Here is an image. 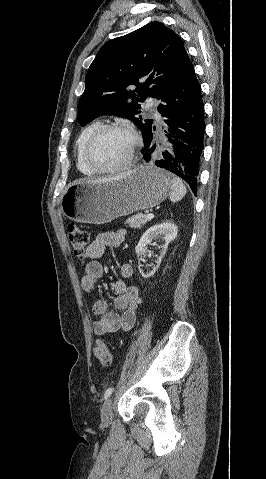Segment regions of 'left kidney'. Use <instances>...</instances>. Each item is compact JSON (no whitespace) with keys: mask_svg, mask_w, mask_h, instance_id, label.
Returning <instances> with one entry per match:
<instances>
[{"mask_svg":"<svg viewBox=\"0 0 266 479\" xmlns=\"http://www.w3.org/2000/svg\"><path fill=\"white\" fill-rule=\"evenodd\" d=\"M178 229L177 226L171 222H164L158 225H154L150 227L146 232L142 235V237L139 240L138 245L135 248L136 254L138 256L144 255L146 253V246L157 236H163V239L165 240V244L159 246V248L162 249L161 255L157 259V265L156 267L153 268V270L149 272H145L142 268L141 265L139 264V272L144 278H149L152 277L157 269L159 268V265L161 263L162 257L165 255L168 244L173 241L177 237Z\"/></svg>","mask_w":266,"mask_h":479,"instance_id":"5707ae66","label":"left kidney"}]
</instances>
